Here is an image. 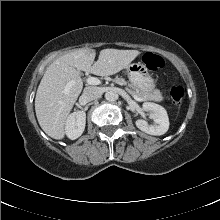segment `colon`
I'll return each instance as SVG.
<instances>
[{"instance_id":"5ec220e1","label":"colon","mask_w":220,"mask_h":220,"mask_svg":"<svg viewBox=\"0 0 220 220\" xmlns=\"http://www.w3.org/2000/svg\"><path fill=\"white\" fill-rule=\"evenodd\" d=\"M143 63L151 71H158L165 65L164 59L152 52H147L143 56ZM184 97V89L180 85H174L169 91V99L172 104L179 105Z\"/></svg>"}]
</instances>
